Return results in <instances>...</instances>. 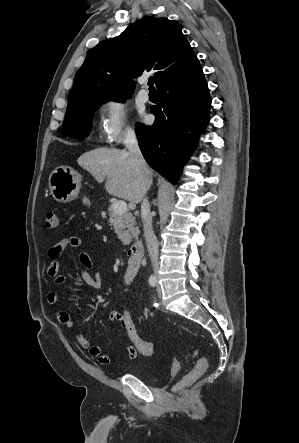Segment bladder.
<instances>
[{"mask_svg": "<svg viewBox=\"0 0 299 443\" xmlns=\"http://www.w3.org/2000/svg\"><path fill=\"white\" fill-rule=\"evenodd\" d=\"M131 374L150 385H158L167 378V373H157L154 370L147 368L143 363L134 367Z\"/></svg>", "mask_w": 299, "mask_h": 443, "instance_id": "bladder-1", "label": "bladder"}]
</instances>
